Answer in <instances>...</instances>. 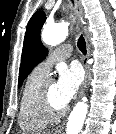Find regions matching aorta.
<instances>
[{
  "label": "aorta",
  "instance_id": "762f6f07",
  "mask_svg": "<svg viewBox=\"0 0 116 134\" xmlns=\"http://www.w3.org/2000/svg\"><path fill=\"white\" fill-rule=\"evenodd\" d=\"M68 36V24L65 22L47 24L42 31V41L50 46H55L63 42ZM87 99L83 98L72 110L67 127L66 134H79L87 115Z\"/></svg>",
  "mask_w": 116,
  "mask_h": 134
}]
</instances>
